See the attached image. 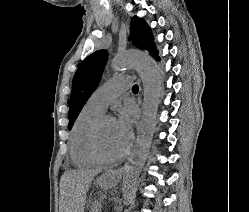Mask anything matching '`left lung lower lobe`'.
<instances>
[{"label":"left lung lower lobe","mask_w":249,"mask_h":212,"mask_svg":"<svg viewBox=\"0 0 249 212\" xmlns=\"http://www.w3.org/2000/svg\"><path fill=\"white\" fill-rule=\"evenodd\" d=\"M155 57H156L157 60H159V57L157 55Z\"/></svg>","instance_id":"1"}]
</instances>
